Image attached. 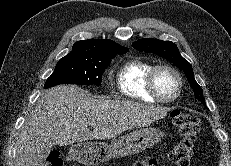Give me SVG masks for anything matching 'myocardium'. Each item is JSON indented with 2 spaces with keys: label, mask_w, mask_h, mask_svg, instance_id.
<instances>
[{
  "label": "myocardium",
  "mask_w": 231,
  "mask_h": 166,
  "mask_svg": "<svg viewBox=\"0 0 231 166\" xmlns=\"http://www.w3.org/2000/svg\"><path fill=\"white\" fill-rule=\"evenodd\" d=\"M160 70H167L171 72L177 80L178 88H177L176 93L172 97H169V98L164 97L157 90L155 80H156L157 73ZM183 84L184 82H183V78L180 72L175 67L168 65V64H158V65L153 66L152 69L148 73L147 82H146L147 90L149 94L153 98H155L157 101L162 102V103H171L177 100L182 93Z\"/></svg>",
  "instance_id": "myocardium-1"
}]
</instances>
